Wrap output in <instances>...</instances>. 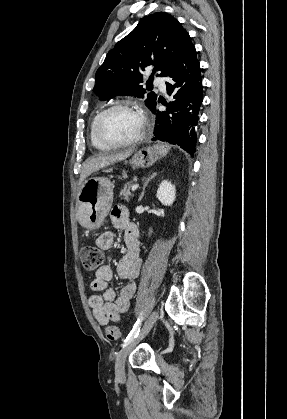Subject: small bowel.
Instances as JSON below:
<instances>
[{
	"mask_svg": "<svg viewBox=\"0 0 287 419\" xmlns=\"http://www.w3.org/2000/svg\"><path fill=\"white\" fill-rule=\"evenodd\" d=\"M111 221L115 228L124 232L125 251L117 265V273L121 279L128 283L116 295L114 289L107 287L108 281L112 278L111 267L103 265L96 270L95 277L91 282V289L101 294L90 297L89 305L100 325H106L109 321H117L122 314L128 311L130 300L136 290L135 280L142 269L138 230L130 221L129 211L123 206H115L111 211ZM114 240L115 233L107 230L97 238L96 245L102 250H109L113 246Z\"/></svg>",
	"mask_w": 287,
	"mask_h": 419,
	"instance_id": "obj_1",
	"label": "small bowel"
}]
</instances>
